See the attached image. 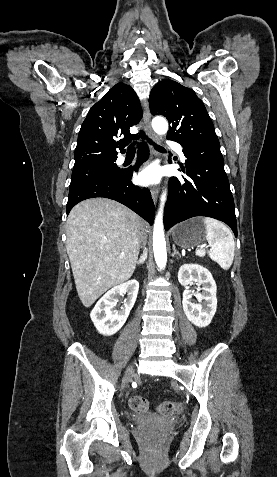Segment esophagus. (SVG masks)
Returning a JSON list of instances; mask_svg holds the SVG:
<instances>
[{"label": "esophagus", "instance_id": "esophagus-1", "mask_svg": "<svg viewBox=\"0 0 277 477\" xmlns=\"http://www.w3.org/2000/svg\"><path fill=\"white\" fill-rule=\"evenodd\" d=\"M143 119H144V125L146 128V131L149 135V137L154 141H158L157 135L153 132L152 127H151V115L148 109V103L147 101H144V113H143ZM154 152V151H153ZM155 154V152H154ZM151 194H152V199L154 203H157V199L159 196V188L158 187H152L151 188Z\"/></svg>", "mask_w": 277, "mask_h": 477}]
</instances>
